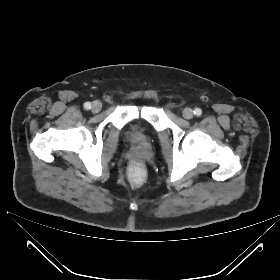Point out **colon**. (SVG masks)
Segmentation results:
<instances>
[{
    "instance_id": "5ec220e1",
    "label": "colon",
    "mask_w": 280,
    "mask_h": 280,
    "mask_svg": "<svg viewBox=\"0 0 280 280\" xmlns=\"http://www.w3.org/2000/svg\"><path fill=\"white\" fill-rule=\"evenodd\" d=\"M143 177H144V174H143V171H142L141 168L136 167V166L132 168V174H131V177H130V181L134 185L141 184V182L143 181Z\"/></svg>"
}]
</instances>
